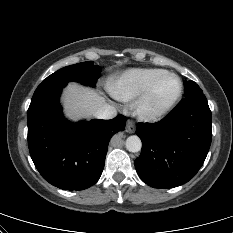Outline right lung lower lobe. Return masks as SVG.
<instances>
[{
    "instance_id": "right-lung-lower-lobe-1",
    "label": "right lung lower lobe",
    "mask_w": 233,
    "mask_h": 233,
    "mask_svg": "<svg viewBox=\"0 0 233 233\" xmlns=\"http://www.w3.org/2000/svg\"><path fill=\"white\" fill-rule=\"evenodd\" d=\"M61 91L31 100L27 112L29 151L50 184L64 190H84L100 178L108 143L125 129L127 118L119 114L111 120L68 122L59 104Z\"/></svg>"
}]
</instances>
